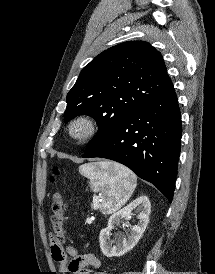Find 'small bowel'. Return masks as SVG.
Masks as SVG:
<instances>
[{
	"mask_svg": "<svg viewBox=\"0 0 215 274\" xmlns=\"http://www.w3.org/2000/svg\"><path fill=\"white\" fill-rule=\"evenodd\" d=\"M51 254L60 272L71 274H91L89 267L97 271L93 274H108L101 261L92 253L79 252L75 247L65 248L62 243L51 240ZM68 254L71 256L69 259Z\"/></svg>",
	"mask_w": 215,
	"mask_h": 274,
	"instance_id": "1",
	"label": "small bowel"
}]
</instances>
